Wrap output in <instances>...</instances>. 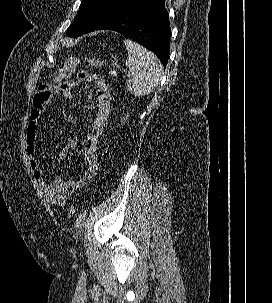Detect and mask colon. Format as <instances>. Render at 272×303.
<instances>
[{"label": "colon", "instance_id": "5ec220e1", "mask_svg": "<svg viewBox=\"0 0 272 303\" xmlns=\"http://www.w3.org/2000/svg\"><path fill=\"white\" fill-rule=\"evenodd\" d=\"M79 60H80L79 58H72V59L68 60L66 65L61 70L54 73L52 75V83L49 84V88L56 89L60 83H62L67 78H69L73 74L75 67L78 64ZM88 62L92 67H95V68H99L103 65V62L101 61V59H99L97 57L89 58ZM108 73L113 78L117 77V75H118L117 71L114 68H110ZM74 214H75V208L73 206H69L68 216L72 217Z\"/></svg>", "mask_w": 272, "mask_h": 303}]
</instances>
